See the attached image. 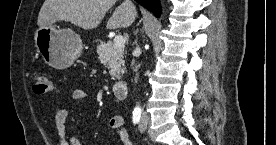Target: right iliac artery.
<instances>
[{
	"instance_id": "82829eb1",
	"label": "right iliac artery",
	"mask_w": 276,
	"mask_h": 145,
	"mask_svg": "<svg viewBox=\"0 0 276 145\" xmlns=\"http://www.w3.org/2000/svg\"><path fill=\"white\" fill-rule=\"evenodd\" d=\"M142 115V109L140 107H136L133 110V116H132V121L134 124H138Z\"/></svg>"
}]
</instances>
